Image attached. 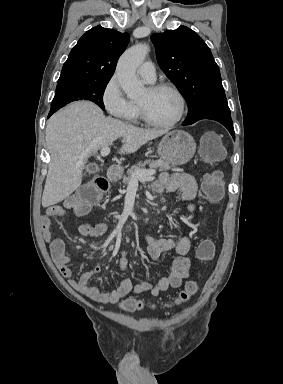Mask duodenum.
I'll return each mask as SVG.
<instances>
[{
  "instance_id": "410a0bca",
  "label": "duodenum",
  "mask_w": 283,
  "mask_h": 384,
  "mask_svg": "<svg viewBox=\"0 0 283 384\" xmlns=\"http://www.w3.org/2000/svg\"><path fill=\"white\" fill-rule=\"evenodd\" d=\"M122 168H120L119 166L117 165H112L109 169V173H110V180L112 181H118L120 180L121 178V175H122Z\"/></svg>"
}]
</instances>
